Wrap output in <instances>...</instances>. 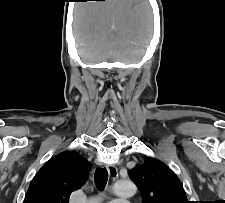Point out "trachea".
Returning a JSON list of instances; mask_svg holds the SVG:
<instances>
[{
  "label": "trachea",
  "mask_w": 225,
  "mask_h": 203,
  "mask_svg": "<svg viewBox=\"0 0 225 203\" xmlns=\"http://www.w3.org/2000/svg\"><path fill=\"white\" fill-rule=\"evenodd\" d=\"M108 172L106 168L97 169L94 174V181L99 190H103L107 184Z\"/></svg>",
  "instance_id": "3493384b"
}]
</instances>
